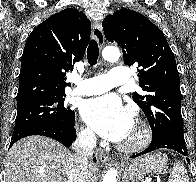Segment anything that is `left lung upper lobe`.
<instances>
[{
    "label": "left lung upper lobe",
    "instance_id": "obj_1",
    "mask_svg": "<svg viewBox=\"0 0 196 182\" xmlns=\"http://www.w3.org/2000/svg\"><path fill=\"white\" fill-rule=\"evenodd\" d=\"M105 37L122 48L124 63H134L139 85L147 95L133 93L146 115L153 137L163 133L183 136L180 79L174 55L161 30L145 16L123 8L105 17Z\"/></svg>",
    "mask_w": 196,
    "mask_h": 182
}]
</instances>
